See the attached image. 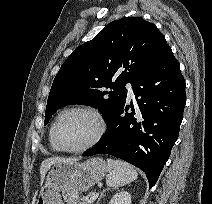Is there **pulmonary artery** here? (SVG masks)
I'll return each mask as SVG.
<instances>
[{
    "instance_id": "obj_1",
    "label": "pulmonary artery",
    "mask_w": 212,
    "mask_h": 204,
    "mask_svg": "<svg viewBox=\"0 0 212 204\" xmlns=\"http://www.w3.org/2000/svg\"><path fill=\"white\" fill-rule=\"evenodd\" d=\"M126 88H127V90H128V97H129L130 99L134 98V92H133V89H132V85H131L130 83H128V84L126 85Z\"/></svg>"
}]
</instances>
